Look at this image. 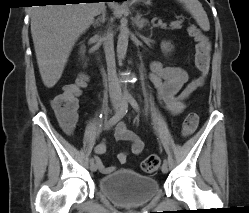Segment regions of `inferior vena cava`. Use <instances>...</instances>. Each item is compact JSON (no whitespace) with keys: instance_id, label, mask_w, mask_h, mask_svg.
I'll list each match as a JSON object with an SVG mask.
<instances>
[{"instance_id":"obj_1","label":"inferior vena cava","mask_w":249,"mask_h":213,"mask_svg":"<svg viewBox=\"0 0 249 213\" xmlns=\"http://www.w3.org/2000/svg\"><path fill=\"white\" fill-rule=\"evenodd\" d=\"M103 47L107 62L109 89L111 92H116L117 94H120L121 89L116 75L114 43L111 28L108 29L107 33L103 37Z\"/></svg>"}]
</instances>
